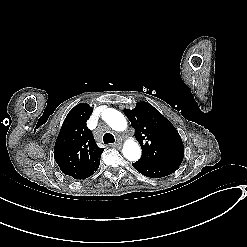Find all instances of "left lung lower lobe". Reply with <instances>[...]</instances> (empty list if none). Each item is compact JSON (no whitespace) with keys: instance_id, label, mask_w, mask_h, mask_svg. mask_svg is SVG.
<instances>
[{"instance_id":"left-lung-lower-lobe-1","label":"left lung lower lobe","mask_w":247,"mask_h":247,"mask_svg":"<svg viewBox=\"0 0 247 247\" xmlns=\"http://www.w3.org/2000/svg\"><path fill=\"white\" fill-rule=\"evenodd\" d=\"M132 166L142 175L150 178H161L172 174L175 170L158 165L153 162L138 160Z\"/></svg>"}]
</instances>
